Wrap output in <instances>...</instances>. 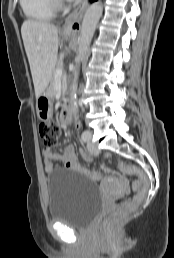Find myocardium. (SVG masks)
<instances>
[{
  "label": "myocardium",
  "mask_w": 174,
  "mask_h": 258,
  "mask_svg": "<svg viewBox=\"0 0 174 258\" xmlns=\"http://www.w3.org/2000/svg\"><path fill=\"white\" fill-rule=\"evenodd\" d=\"M55 6V8L59 7L61 5V0H51Z\"/></svg>",
  "instance_id": "obj_1"
}]
</instances>
